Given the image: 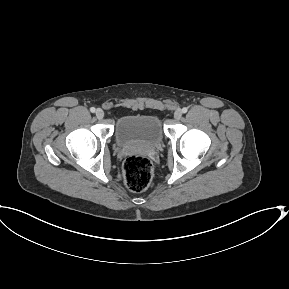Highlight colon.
<instances>
[{
  "mask_svg": "<svg viewBox=\"0 0 289 289\" xmlns=\"http://www.w3.org/2000/svg\"><path fill=\"white\" fill-rule=\"evenodd\" d=\"M123 178L127 188L133 192H141L148 188L153 177V167L148 158L133 155L123 163Z\"/></svg>",
  "mask_w": 289,
  "mask_h": 289,
  "instance_id": "colon-1",
  "label": "colon"
}]
</instances>
